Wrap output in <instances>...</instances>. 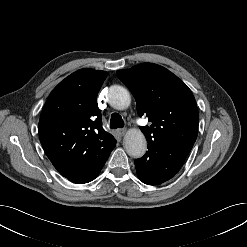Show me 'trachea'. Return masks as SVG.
<instances>
[{"label": "trachea", "mask_w": 247, "mask_h": 247, "mask_svg": "<svg viewBox=\"0 0 247 247\" xmlns=\"http://www.w3.org/2000/svg\"><path fill=\"white\" fill-rule=\"evenodd\" d=\"M124 126V121L118 113H113L110 119V128L117 129Z\"/></svg>", "instance_id": "obj_1"}]
</instances>
